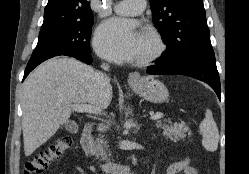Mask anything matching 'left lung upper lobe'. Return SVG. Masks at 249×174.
<instances>
[{
    "label": "left lung upper lobe",
    "instance_id": "obj_1",
    "mask_svg": "<svg viewBox=\"0 0 249 174\" xmlns=\"http://www.w3.org/2000/svg\"><path fill=\"white\" fill-rule=\"evenodd\" d=\"M150 5L152 20L168 46L163 62L214 54L202 0H150Z\"/></svg>",
    "mask_w": 249,
    "mask_h": 174
}]
</instances>
